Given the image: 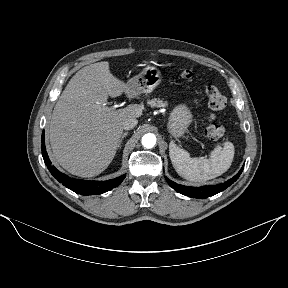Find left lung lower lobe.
I'll return each mask as SVG.
<instances>
[{"label":"left lung lower lobe","instance_id":"1","mask_svg":"<svg viewBox=\"0 0 288 288\" xmlns=\"http://www.w3.org/2000/svg\"><path fill=\"white\" fill-rule=\"evenodd\" d=\"M244 166L240 169L238 174H236L233 178L229 179L228 181L224 183H220L217 185H209V186H202V187H190V186H184L177 184L167 177H165L167 183L177 192L186 195L188 197L192 198H208L209 196H213L223 190H225L227 187H229L231 184H233L240 176V174L243 171Z\"/></svg>","mask_w":288,"mask_h":288}]
</instances>
